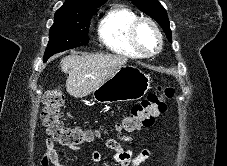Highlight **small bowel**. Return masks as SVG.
Instances as JSON below:
<instances>
[{
  "label": "small bowel",
  "mask_w": 227,
  "mask_h": 166,
  "mask_svg": "<svg viewBox=\"0 0 227 166\" xmlns=\"http://www.w3.org/2000/svg\"><path fill=\"white\" fill-rule=\"evenodd\" d=\"M117 137L124 142L130 143L135 140L134 136L118 135ZM106 146L113 151L111 160L119 166H140L146 162L150 157V151L148 149L143 150L138 155H134L131 150L124 149L118 140L114 138H108L105 142ZM74 151H78L77 147H72ZM91 159L98 164L102 160V155L99 151L93 150L91 152ZM41 166H65L60 159L59 152L55 148L54 141L52 139L46 140L45 153L41 160ZM80 166H86L85 162H82Z\"/></svg>",
  "instance_id": "1"
}]
</instances>
